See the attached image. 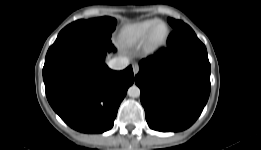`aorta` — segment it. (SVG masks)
<instances>
[{"label":"aorta","mask_w":261,"mask_h":150,"mask_svg":"<svg viewBox=\"0 0 261 150\" xmlns=\"http://www.w3.org/2000/svg\"><path fill=\"white\" fill-rule=\"evenodd\" d=\"M127 94L132 98H137L140 96V89L136 85H132L129 89Z\"/></svg>","instance_id":"1"}]
</instances>
